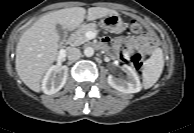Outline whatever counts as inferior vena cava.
<instances>
[{"instance_id":"obj_1","label":"inferior vena cava","mask_w":194,"mask_h":133,"mask_svg":"<svg viewBox=\"0 0 194 133\" xmlns=\"http://www.w3.org/2000/svg\"><path fill=\"white\" fill-rule=\"evenodd\" d=\"M66 53L69 60H78L81 57V52L78 48L68 47Z\"/></svg>"}]
</instances>
